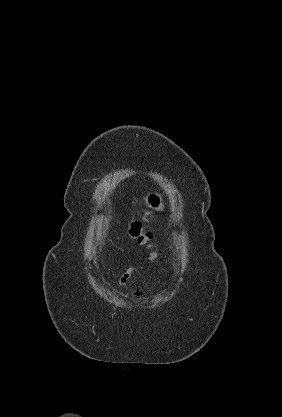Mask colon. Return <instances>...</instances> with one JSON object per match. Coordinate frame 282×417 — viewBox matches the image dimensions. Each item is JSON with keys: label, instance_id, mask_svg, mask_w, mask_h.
I'll return each mask as SVG.
<instances>
[{"label": "colon", "instance_id": "1", "mask_svg": "<svg viewBox=\"0 0 282 417\" xmlns=\"http://www.w3.org/2000/svg\"><path fill=\"white\" fill-rule=\"evenodd\" d=\"M129 234L132 238L137 240L140 244L148 246L150 250V257L152 260L160 261L162 256V251L160 247L155 242L152 233L143 228L140 222L131 221L127 223Z\"/></svg>", "mask_w": 282, "mask_h": 417}]
</instances>
